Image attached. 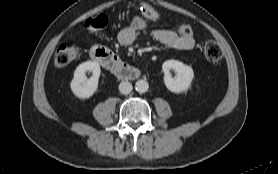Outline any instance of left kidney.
Masks as SVG:
<instances>
[{
	"mask_svg": "<svg viewBox=\"0 0 278 174\" xmlns=\"http://www.w3.org/2000/svg\"><path fill=\"white\" fill-rule=\"evenodd\" d=\"M173 69L177 76L172 78L170 70ZM164 72V83L167 89L173 93L185 92L189 89L194 78L192 67L178 60H167L162 65Z\"/></svg>",
	"mask_w": 278,
	"mask_h": 174,
	"instance_id": "1",
	"label": "left kidney"
}]
</instances>
